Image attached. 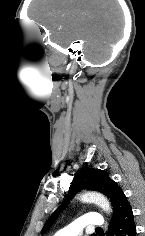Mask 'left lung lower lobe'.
Instances as JSON below:
<instances>
[{
    "label": "left lung lower lobe",
    "mask_w": 145,
    "mask_h": 236,
    "mask_svg": "<svg viewBox=\"0 0 145 236\" xmlns=\"http://www.w3.org/2000/svg\"><path fill=\"white\" fill-rule=\"evenodd\" d=\"M107 236H136V225L131 206L112 219Z\"/></svg>",
    "instance_id": "obj_1"
}]
</instances>
